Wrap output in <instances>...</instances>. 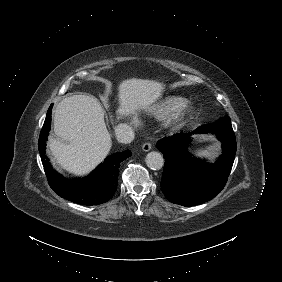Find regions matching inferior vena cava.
I'll list each match as a JSON object with an SVG mask.
<instances>
[{
  "label": "inferior vena cava",
  "mask_w": 282,
  "mask_h": 282,
  "mask_svg": "<svg viewBox=\"0 0 282 282\" xmlns=\"http://www.w3.org/2000/svg\"><path fill=\"white\" fill-rule=\"evenodd\" d=\"M115 137L120 143H130L134 139V131L127 124H118L115 127Z\"/></svg>",
  "instance_id": "obj_1"
}]
</instances>
